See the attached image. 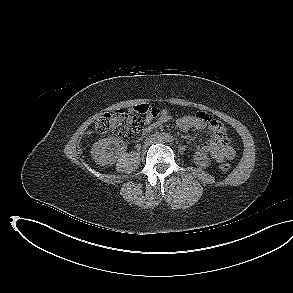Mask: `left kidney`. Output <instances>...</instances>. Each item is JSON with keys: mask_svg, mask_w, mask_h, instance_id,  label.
I'll list each match as a JSON object with an SVG mask.
<instances>
[{"mask_svg": "<svg viewBox=\"0 0 293 293\" xmlns=\"http://www.w3.org/2000/svg\"><path fill=\"white\" fill-rule=\"evenodd\" d=\"M195 164L200 166L201 168H207L210 165V158L206 153H197L194 156Z\"/></svg>", "mask_w": 293, "mask_h": 293, "instance_id": "left-kidney-1", "label": "left kidney"}]
</instances>
